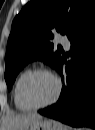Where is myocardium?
Here are the masks:
<instances>
[{
  "instance_id": "f54148a6",
  "label": "myocardium",
  "mask_w": 95,
  "mask_h": 130,
  "mask_svg": "<svg viewBox=\"0 0 95 130\" xmlns=\"http://www.w3.org/2000/svg\"><path fill=\"white\" fill-rule=\"evenodd\" d=\"M37 74H45V75L50 76L54 80V82L56 84V92H55L54 96L49 101H47V102H45L43 104L34 105V104L30 103L28 101V99L26 98V96H25V87H26V84L28 83V81L34 75H37ZM61 89H62L61 81L52 71H50L48 69H44V68H36L34 70L29 71L26 74V76L24 77V79L22 80L20 88H19V96H20L21 102L26 107H28L31 110H38V109L47 107V106L52 105L53 103H55L58 100L59 96H60Z\"/></svg>"
}]
</instances>
